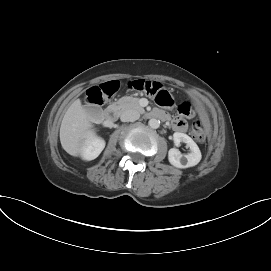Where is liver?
Masks as SVG:
<instances>
[{
	"label": "liver",
	"instance_id": "obj_1",
	"mask_svg": "<svg viewBox=\"0 0 271 271\" xmlns=\"http://www.w3.org/2000/svg\"><path fill=\"white\" fill-rule=\"evenodd\" d=\"M94 134L91 116L75 100L66 111L60 127L62 148L72 156H79L87 138Z\"/></svg>",
	"mask_w": 271,
	"mask_h": 271
}]
</instances>
